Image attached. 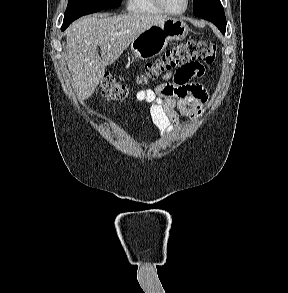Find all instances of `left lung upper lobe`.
<instances>
[{"label": "left lung upper lobe", "instance_id": "left-lung-upper-lobe-1", "mask_svg": "<svg viewBox=\"0 0 288 293\" xmlns=\"http://www.w3.org/2000/svg\"><path fill=\"white\" fill-rule=\"evenodd\" d=\"M194 14L215 24L224 34L226 31V17L220 0H193Z\"/></svg>", "mask_w": 288, "mask_h": 293}]
</instances>
